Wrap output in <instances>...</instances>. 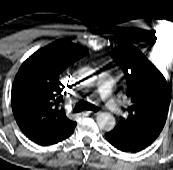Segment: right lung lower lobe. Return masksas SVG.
I'll return each instance as SVG.
<instances>
[{
	"mask_svg": "<svg viewBox=\"0 0 173 170\" xmlns=\"http://www.w3.org/2000/svg\"><path fill=\"white\" fill-rule=\"evenodd\" d=\"M75 128V127H74ZM74 128H72L71 130H69L68 132H66L65 134H63L62 136H60L59 138L55 139V140H52V141H49V142H45V143H37L39 145H42V146H48V145H52V144H56L66 138H68L74 131Z\"/></svg>",
	"mask_w": 173,
	"mask_h": 170,
	"instance_id": "98d812e1",
	"label": "right lung lower lobe"
}]
</instances>
